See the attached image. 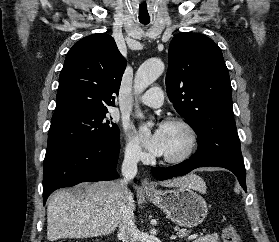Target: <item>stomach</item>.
Masks as SVG:
<instances>
[{"label":"stomach","mask_w":279,"mask_h":242,"mask_svg":"<svg viewBox=\"0 0 279 242\" xmlns=\"http://www.w3.org/2000/svg\"><path fill=\"white\" fill-rule=\"evenodd\" d=\"M146 196L171 221L183 227H196L207 215V203L201 195L189 187L157 190L154 193H147Z\"/></svg>","instance_id":"stomach-1"}]
</instances>
